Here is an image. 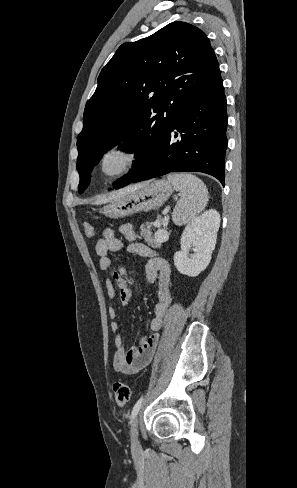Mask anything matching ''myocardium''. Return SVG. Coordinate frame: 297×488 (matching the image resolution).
<instances>
[{
	"mask_svg": "<svg viewBox=\"0 0 297 488\" xmlns=\"http://www.w3.org/2000/svg\"><path fill=\"white\" fill-rule=\"evenodd\" d=\"M115 151H124L129 155L127 164L118 172L113 174H107L104 169V162L106 157ZM144 157V151L142 146L133 140H121L107 146L101 153L98 161V166L102 176L109 180H114L125 176L136 169L142 162Z\"/></svg>",
	"mask_w": 297,
	"mask_h": 488,
	"instance_id": "obj_1",
	"label": "myocardium"
}]
</instances>
